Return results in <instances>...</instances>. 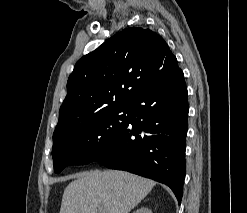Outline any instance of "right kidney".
Instances as JSON below:
<instances>
[{
    "label": "right kidney",
    "mask_w": 247,
    "mask_h": 213,
    "mask_svg": "<svg viewBox=\"0 0 247 213\" xmlns=\"http://www.w3.org/2000/svg\"><path fill=\"white\" fill-rule=\"evenodd\" d=\"M133 213H152L151 209L145 206H142L135 210Z\"/></svg>",
    "instance_id": "ca27d5eb"
}]
</instances>
